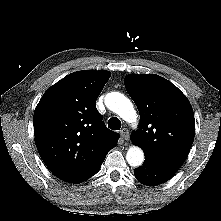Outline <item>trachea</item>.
<instances>
[{
    "instance_id": "trachea-1",
    "label": "trachea",
    "mask_w": 221,
    "mask_h": 221,
    "mask_svg": "<svg viewBox=\"0 0 221 221\" xmlns=\"http://www.w3.org/2000/svg\"><path fill=\"white\" fill-rule=\"evenodd\" d=\"M108 127L112 130H119L121 128V121L117 117H112L108 120Z\"/></svg>"
}]
</instances>
